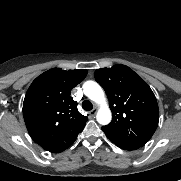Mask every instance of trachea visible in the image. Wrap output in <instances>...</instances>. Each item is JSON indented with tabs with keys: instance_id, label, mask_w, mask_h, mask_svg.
I'll use <instances>...</instances> for the list:
<instances>
[{
	"instance_id": "1",
	"label": "trachea",
	"mask_w": 181,
	"mask_h": 181,
	"mask_svg": "<svg viewBox=\"0 0 181 181\" xmlns=\"http://www.w3.org/2000/svg\"><path fill=\"white\" fill-rule=\"evenodd\" d=\"M82 108L86 111H90L93 109V105L90 101L88 100H85L83 103H82Z\"/></svg>"
}]
</instances>
